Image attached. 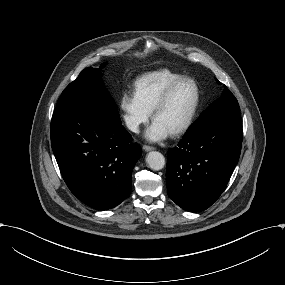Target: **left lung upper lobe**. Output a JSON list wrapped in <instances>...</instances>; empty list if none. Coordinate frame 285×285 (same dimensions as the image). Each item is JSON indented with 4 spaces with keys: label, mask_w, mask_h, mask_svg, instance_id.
Here are the masks:
<instances>
[{
    "label": "left lung upper lobe",
    "mask_w": 285,
    "mask_h": 285,
    "mask_svg": "<svg viewBox=\"0 0 285 285\" xmlns=\"http://www.w3.org/2000/svg\"><path fill=\"white\" fill-rule=\"evenodd\" d=\"M232 109H239V104L235 96L224 85V91L221 94V97L215 100L200 115V117L191 125V127L213 114L220 113V112L227 111V110H232Z\"/></svg>",
    "instance_id": "1"
}]
</instances>
